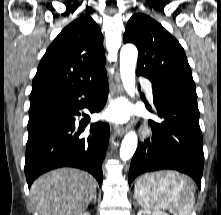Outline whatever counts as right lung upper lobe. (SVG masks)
Here are the masks:
<instances>
[{
    "instance_id": "1",
    "label": "right lung upper lobe",
    "mask_w": 221,
    "mask_h": 215,
    "mask_svg": "<svg viewBox=\"0 0 221 215\" xmlns=\"http://www.w3.org/2000/svg\"><path fill=\"white\" fill-rule=\"evenodd\" d=\"M103 36L83 15L66 26L48 47L32 82L33 111L74 95L106 75Z\"/></svg>"
}]
</instances>
